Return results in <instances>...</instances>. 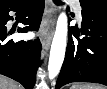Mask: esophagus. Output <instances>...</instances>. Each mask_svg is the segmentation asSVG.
Returning <instances> with one entry per match:
<instances>
[{"mask_svg":"<svg viewBox=\"0 0 107 89\" xmlns=\"http://www.w3.org/2000/svg\"><path fill=\"white\" fill-rule=\"evenodd\" d=\"M56 9L51 0L46 1L45 18L42 24V30L40 34L41 43L44 50H47L53 37V26L55 23Z\"/></svg>","mask_w":107,"mask_h":89,"instance_id":"obj_1","label":"esophagus"}]
</instances>
